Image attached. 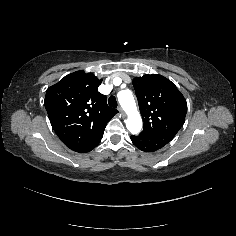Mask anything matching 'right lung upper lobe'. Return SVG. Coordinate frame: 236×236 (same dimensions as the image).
<instances>
[{"label": "right lung upper lobe", "instance_id": "cb5924a9", "mask_svg": "<svg viewBox=\"0 0 236 236\" xmlns=\"http://www.w3.org/2000/svg\"><path fill=\"white\" fill-rule=\"evenodd\" d=\"M102 79L76 71L49 87L45 108L60 140L71 150L81 151L103 137L106 124L118 112L98 92Z\"/></svg>", "mask_w": 236, "mask_h": 236}]
</instances>
